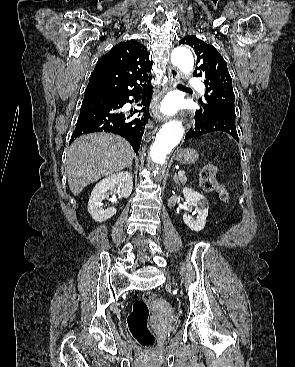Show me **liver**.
Masks as SVG:
<instances>
[{
	"label": "liver",
	"mask_w": 295,
	"mask_h": 367,
	"mask_svg": "<svg viewBox=\"0 0 295 367\" xmlns=\"http://www.w3.org/2000/svg\"><path fill=\"white\" fill-rule=\"evenodd\" d=\"M134 156L131 145L114 134L93 133L76 139L67 151L65 167L71 192L78 195L90 183L125 169Z\"/></svg>",
	"instance_id": "liver-1"
}]
</instances>
